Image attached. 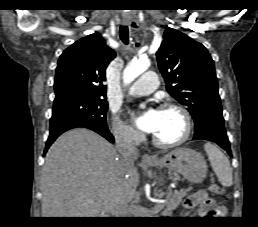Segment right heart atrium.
<instances>
[{
    "label": "right heart atrium",
    "instance_id": "right-heart-atrium-1",
    "mask_svg": "<svg viewBox=\"0 0 258 227\" xmlns=\"http://www.w3.org/2000/svg\"><path fill=\"white\" fill-rule=\"evenodd\" d=\"M111 130L115 140L119 143L134 145L140 141V134L129 124L123 121L114 111L111 117Z\"/></svg>",
    "mask_w": 258,
    "mask_h": 227
}]
</instances>
